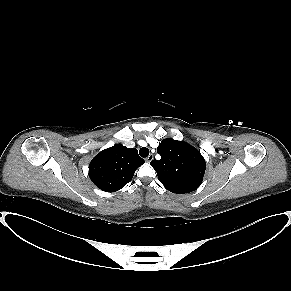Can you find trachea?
Listing matches in <instances>:
<instances>
[{"mask_svg":"<svg viewBox=\"0 0 291 291\" xmlns=\"http://www.w3.org/2000/svg\"><path fill=\"white\" fill-rule=\"evenodd\" d=\"M139 154L141 157H148L149 155V150L148 148L146 147H142L140 150H139Z\"/></svg>","mask_w":291,"mask_h":291,"instance_id":"3493384b","label":"trachea"}]
</instances>
